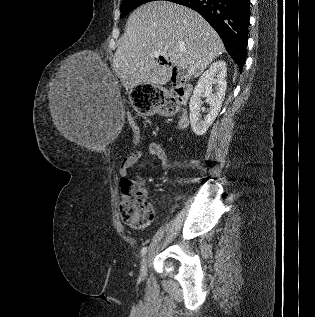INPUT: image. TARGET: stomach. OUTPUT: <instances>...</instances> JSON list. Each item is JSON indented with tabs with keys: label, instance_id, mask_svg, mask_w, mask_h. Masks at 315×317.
<instances>
[{
	"label": "stomach",
	"instance_id": "stomach-1",
	"mask_svg": "<svg viewBox=\"0 0 315 317\" xmlns=\"http://www.w3.org/2000/svg\"><path fill=\"white\" fill-rule=\"evenodd\" d=\"M152 95H160V88H154V84H133L131 98L135 114H156L158 101Z\"/></svg>",
	"mask_w": 315,
	"mask_h": 317
}]
</instances>
